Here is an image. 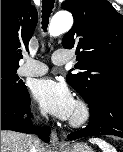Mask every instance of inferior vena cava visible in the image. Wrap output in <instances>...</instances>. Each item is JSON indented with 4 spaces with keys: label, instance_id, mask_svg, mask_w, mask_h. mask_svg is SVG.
Wrapping results in <instances>:
<instances>
[{
    "label": "inferior vena cava",
    "instance_id": "inferior-vena-cava-1",
    "mask_svg": "<svg viewBox=\"0 0 123 152\" xmlns=\"http://www.w3.org/2000/svg\"><path fill=\"white\" fill-rule=\"evenodd\" d=\"M39 141L37 137H32L29 135V152H37L36 147H35V142Z\"/></svg>",
    "mask_w": 123,
    "mask_h": 152
}]
</instances>
